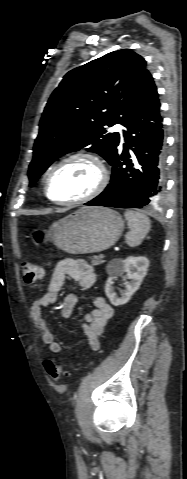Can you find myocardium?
I'll return each mask as SVG.
<instances>
[{
	"instance_id": "obj_1",
	"label": "myocardium",
	"mask_w": 187,
	"mask_h": 479,
	"mask_svg": "<svg viewBox=\"0 0 187 479\" xmlns=\"http://www.w3.org/2000/svg\"><path fill=\"white\" fill-rule=\"evenodd\" d=\"M76 159H85L93 163V165L96 167L97 170V182L94 186V188L86 195L79 197L77 199L73 200H67V201H57L54 200L50 194H49V184L50 181L55 174V172L61 168L63 165H65L68 162H71ZM108 184V171L103 163V161L95 154L90 153V152H85V151H80V152H75L72 153L64 158H62L58 163H56L49 173L46 176L45 182H44V194L46 198L51 201L52 203L58 204V205H64V206H70V205H79L83 204L86 202H89L96 197H98L106 188Z\"/></svg>"
}]
</instances>
